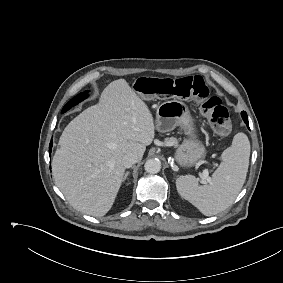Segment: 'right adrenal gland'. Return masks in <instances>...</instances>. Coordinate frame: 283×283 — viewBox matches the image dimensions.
<instances>
[{
    "mask_svg": "<svg viewBox=\"0 0 283 283\" xmlns=\"http://www.w3.org/2000/svg\"><path fill=\"white\" fill-rule=\"evenodd\" d=\"M128 175H129V171L125 173L124 178H123V181L126 180V178H127Z\"/></svg>",
    "mask_w": 283,
    "mask_h": 283,
    "instance_id": "right-adrenal-gland-1",
    "label": "right adrenal gland"
}]
</instances>
